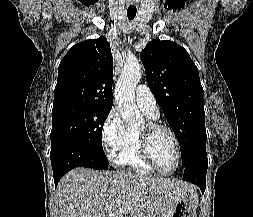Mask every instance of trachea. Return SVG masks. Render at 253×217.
Masks as SVG:
<instances>
[{
	"label": "trachea",
	"instance_id": "trachea-1",
	"mask_svg": "<svg viewBox=\"0 0 253 217\" xmlns=\"http://www.w3.org/2000/svg\"><path fill=\"white\" fill-rule=\"evenodd\" d=\"M136 12H137V10H136V8H128L127 9V17H128V19L129 20H133L134 18H135V16H136Z\"/></svg>",
	"mask_w": 253,
	"mask_h": 217
}]
</instances>
